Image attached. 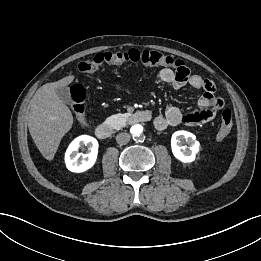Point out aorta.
<instances>
[{
	"label": "aorta",
	"mask_w": 261,
	"mask_h": 261,
	"mask_svg": "<svg viewBox=\"0 0 261 261\" xmlns=\"http://www.w3.org/2000/svg\"><path fill=\"white\" fill-rule=\"evenodd\" d=\"M131 134L133 135V137L135 138H142L143 136V126L140 124H136L134 126L131 127Z\"/></svg>",
	"instance_id": "aorta-1"
}]
</instances>
